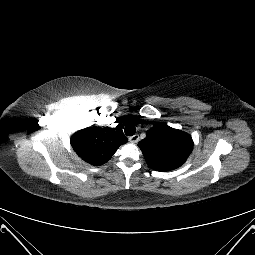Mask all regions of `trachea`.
<instances>
[{
  "mask_svg": "<svg viewBox=\"0 0 255 255\" xmlns=\"http://www.w3.org/2000/svg\"><path fill=\"white\" fill-rule=\"evenodd\" d=\"M135 132H136V128L134 125H127L125 127V134L127 136H133L135 134Z\"/></svg>",
  "mask_w": 255,
  "mask_h": 255,
  "instance_id": "obj_1",
  "label": "trachea"
}]
</instances>
